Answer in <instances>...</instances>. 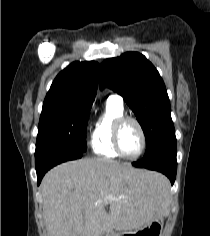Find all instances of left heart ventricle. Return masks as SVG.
<instances>
[{"label":"left heart ventricle","mask_w":210,"mask_h":236,"mask_svg":"<svg viewBox=\"0 0 210 236\" xmlns=\"http://www.w3.org/2000/svg\"><path fill=\"white\" fill-rule=\"evenodd\" d=\"M120 145L123 153L127 156H134L139 152L141 136L133 122L127 121L123 124L120 133Z\"/></svg>","instance_id":"1"}]
</instances>
